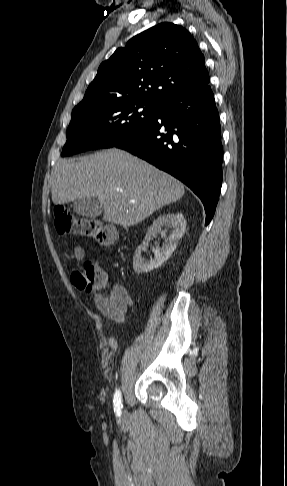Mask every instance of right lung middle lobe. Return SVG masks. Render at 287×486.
Returning a JSON list of instances; mask_svg holds the SVG:
<instances>
[{"label":"right lung middle lobe","instance_id":"1","mask_svg":"<svg viewBox=\"0 0 287 486\" xmlns=\"http://www.w3.org/2000/svg\"><path fill=\"white\" fill-rule=\"evenodd\" d=\"M158 109L154 101L124 99L73 111L61 156L126 142L154 119Z\"/></svg>","mask_w":287,"mask_h":486}]
</instances>
